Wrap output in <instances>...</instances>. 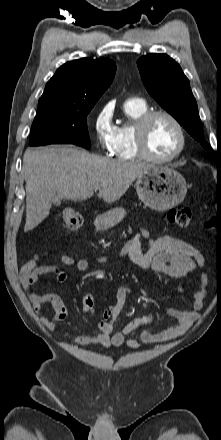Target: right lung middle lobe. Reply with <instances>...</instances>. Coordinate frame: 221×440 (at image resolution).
Masks as SVG:
<instances>
[{"label": "right lung middle lobe", "mask_w": 221, "mask_h": 440, "mask_svg": "<svg viewBox=\"0 0 221 440\" xmlns=\"http://www.w3.org/2000/svg\"><path fill=\"white\" fill-rule=\"evenodd\" d=\"M93 106L52 100L39 102L29 145L75 144L89 149L91 144L86 119Z\"/></svg>", "instance_id": "obj_1"}]
</instances>
